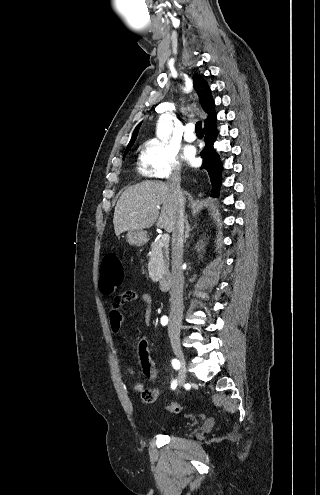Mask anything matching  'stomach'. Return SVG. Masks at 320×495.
<instances>
[{
	"mask_svg": "<svg viewBox=\"0 0 320 495\" xmlns=\"http://www.w3.org/2000/svg\"><path fill=\"white\" fill-rule=\"evenodd\" d=\"M126 238L132 246H143L148 241V234L143 229H132L127 232Z\"/></svg>",
	"mask_w": 320,
	"mask_h": 495,
	"instance_id": "1",
	"label": "stomach"
}]
</instances>
